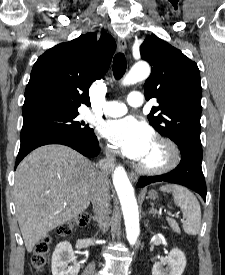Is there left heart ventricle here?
<instances>
[{"label":"left heart ventricle","instance_id":"left-heart-ventricle-1","mask_svg":"<svg viewBox=\"0 0 225 275\" xmlns=\"http://www.w3.org/2000/svg\"><path fill=\"white\" fill-rule=\"evenodd\" d=\"M164 159L165 152L163 147L160 144L153 141L149 150L147 151L143 159L140 161V163L147 166H158L163 163Z\"/></svg>","mask_w":225,"mask_h":275}]
</instances>
